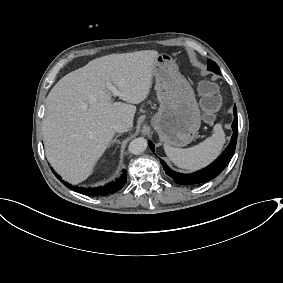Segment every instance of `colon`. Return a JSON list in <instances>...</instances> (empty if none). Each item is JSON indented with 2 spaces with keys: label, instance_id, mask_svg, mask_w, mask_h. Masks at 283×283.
I'll use <instances>...</instances> for the list:
<instances>
[{
  "label": "colon",
  "instance_id": "colon-1",
  "mask_svg": "<svg viewBox=\"0 0 283 283\" xmlns=\"http://www.w3.org/2000/svg\"><path fill=\"white\" fill-rule=\"evenodd\" d=\"M200 102L206 119H213L222 105V97L218 86L202 80L199 84Z\"/></svg>",
  "mask_w": 283,
  "mask_h": 283
}]
</instances>
